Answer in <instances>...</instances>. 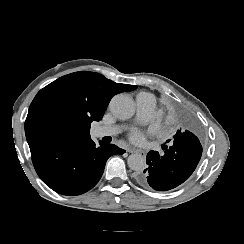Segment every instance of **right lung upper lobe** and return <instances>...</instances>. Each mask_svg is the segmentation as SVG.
Segmentation results:
<instances>
[{
  "label": "right lung upper lobe",
  "mask_w": 244,
  "mask_h": 244,
  "mask_svg": "<svg viewBox=\"0 0 244 244\" xmlns=\"http://www.w3.org/2000/svg\"><path fill=\"white\" fill-rule=\"evenodd\" d=\"M137 86L115 83L103 75L80 71L65 75L38 92L32 101L25 121V133L29 146L52 141L38 137L32 132L36 116L61 110L75 112L79 118L72 132L73 141L90 137L92 121H99L111 98L123 91L135 90Z\"/></svg>",
  "instance_id": "cb5924a9"
}]
</instances>
